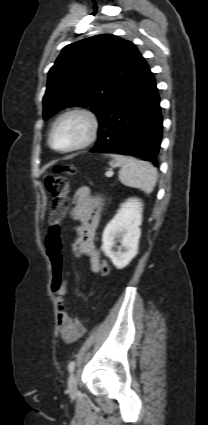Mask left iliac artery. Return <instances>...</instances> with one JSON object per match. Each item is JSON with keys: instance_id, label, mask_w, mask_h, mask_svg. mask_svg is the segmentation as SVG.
I'll return each instance as SVG.
<instances>
[{"instance_id": "left-iliac-artery-1", "label": "left iliac artery", "mask_w": 208, "mask_h": 425, "mask_svg": "<svg viewBox=\"0 0 208 425\" xmlns=\"http://www.w3.org/2000/svg\"><path fill=\"white\" fill-rule=\"evenodd\" d=\"M74 368H75V362H74V361H71V362L68 364V371H69L70 373H72V372L74 371Z\"/></svg>"}]
</instances>
